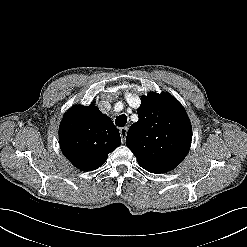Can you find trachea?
Wrapping results in <instances>:
<instances>
[{"instance_id": "trachea-1", "label": "trachea", "mask_w": 247, "mask_h": 247, "mask_svg": "<svg viewBox=\"0 0 247 247\" xmlns=\"http://www.w3.org/2000/svg\"><path fill=\"white\" fill-rule=\"evenodd\" d=\"M127 123V116L122 114L115 119V124L119 127L125 126Z\"/></svg>"}]
</instances>
